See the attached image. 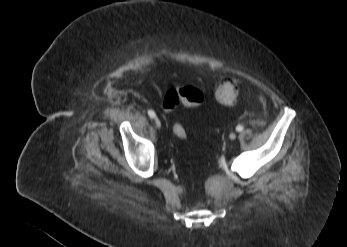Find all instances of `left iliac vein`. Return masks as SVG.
Listing matches in <instances>:
<instances>
[{
    "label": "left iliac vein",
    "instance_id": "left-iliac-vein-1",
    "mask_svg": "<svg viewBox=\"0 0 347 247\" xmlns=\"http://www.w3.org/2000/svg\"><path fill=\"white\" fill-rule=\"evenodd\" d=\"M229 138H230V140L236 139V134L235 133H231Z\"/></svg>",
    "mask_w": 347,
    "mask_h": 247
}]
</instances>
